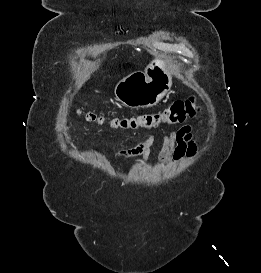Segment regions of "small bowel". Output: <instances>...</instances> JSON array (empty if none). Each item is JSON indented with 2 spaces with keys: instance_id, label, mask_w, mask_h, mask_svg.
<instances>
[{
  "instance_id": "small-bowel-1",
  "label": "small bowel",
  "mask_w": 261,
  "mask_h": 273,
  "mask_svg": "<svg viewBox=\"0 0 261 273\" xmlns=\"http://www.w3.org/2000/svg\"><path fill=\"white\" fill-rule=\"evenodd\" d=\"M154 140L155 136L152 135L131 148L120 150L117 152V157L122 159L140 156L142 162H146ZM196 151L197 146L192 139L191 127L186 125L163 137L159 159L164 164L175 165L183 158H193Z\"/></svg>"
}]
</instances>
